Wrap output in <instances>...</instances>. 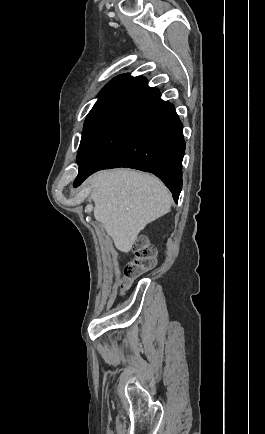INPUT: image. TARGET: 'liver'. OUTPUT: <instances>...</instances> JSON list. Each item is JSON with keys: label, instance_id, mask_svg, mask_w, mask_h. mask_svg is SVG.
Instances as JSON below:
<instances>
[{"label": "liver", "instance_id": "6515ba94", "mask_svg": "<svg viewBox=\"0 0 265 434\" xmlns=\"http://www.w3.org/2000/svg\"><path fill=\"white\" fill-rule=\"evenodd\" d=\"M87 184L92 188L95 220L103 224L115 248L125 254L130 252L139 232L171 208L169 190L149 174L131 170L97 172Z\"/></svg>", "mask_w": 265, "mask_h": 434}]
</instances>
